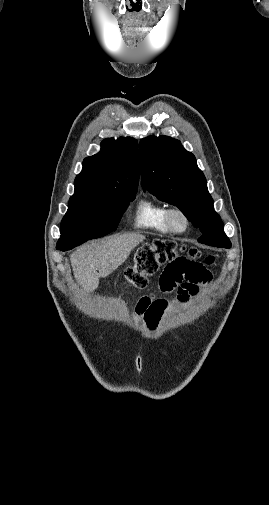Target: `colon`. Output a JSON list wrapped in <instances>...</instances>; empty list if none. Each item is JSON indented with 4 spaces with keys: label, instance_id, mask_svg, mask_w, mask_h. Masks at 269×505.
I'll return each mask as SVG.
<instances>
[{
    "label": "colon",
    "instance_id": "colon-1",
    "mask_svg": "<svg viewBox=\"0 0 269 505\" xmlns=\"http://www.w3.org/2000/svg\"><path fill=\"white\" fill-rule=\"evenodd\" d=\"M170 259L200 260V253L196 249H188L179 255L176 247L169 242L145 244L137 251L134 265L126 270V279L134 287L144 288L147 285V276L154 274ZM204 261L206 266H209L214 262V257L207 256Z\"/></svg>",
    "mask_w": 269,
    "mask_h": 505
}]
</instances>
